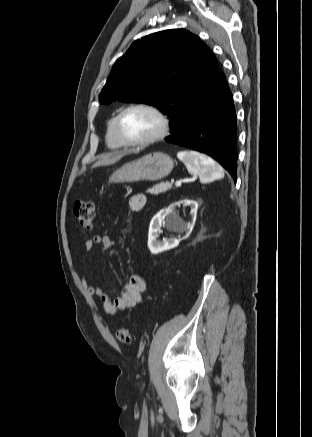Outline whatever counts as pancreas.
Returning <instances> with one entry per match:
<instances>
[{
	"mask_svg": "<svg viewBox=\"0 0 312 437\" xmlns=\"http://www.w3.org/2000/svg\"><path fill=\"white\" fill-rule=\"evenodd\" d=\"M171 188H172V185L168 182L160 183L158 185H155L153 188H149L147 190V193L158 195V194H161V193H164V192L170 190Z\"/></svg>",
	"mask_w": 312,
	"mask_h": 437,
	"instance_id": "obj_1",
	"label": "pancreas"
}]
</instances>
